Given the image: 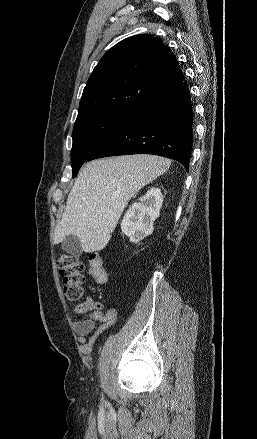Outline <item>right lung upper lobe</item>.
<instances>
[{
    "label": "right lung upper lobe",
    "mask_w": 257,
    "mask_h": 439,
    "mask_svg": "<svg viewBox=\"0 0 257 439\" xmlns=\"http://www.w3.org/2000/svg\"><path fill=\"white\" fill-rule=\"evenodd\" d=\"M184 79L176 57L160 38L150 34L126 38L95 66L78 116L95 112L130 115Z\"/></svg>",
    "instance_id": "1"
}]
</instances>
